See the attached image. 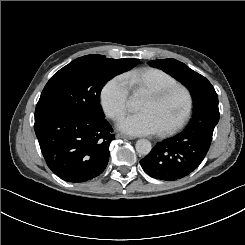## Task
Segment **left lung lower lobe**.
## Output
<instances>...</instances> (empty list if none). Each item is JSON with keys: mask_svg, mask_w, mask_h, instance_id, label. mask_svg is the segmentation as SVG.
I'll use <instances>...</instances> for the list:
<instances>
[{"mask_svg": "<svg viewBox=\"0 0 245 245\" xmlns=\"http://www.w3.org/2000/svg\"><path fill=\"white\" fill-rule=\"evenodd\" d=\"M219 121L218 96L212 85L194 98L193 117L179 134L158 142L140 164L151 177L175 181L188 176L209 150Z\"/></svg>", "mask_w": 245, "mask_h": 245, "instance_id": "left-lung-lower-lobe-1", "label": "left lung lower lobe"}]
</instances>
